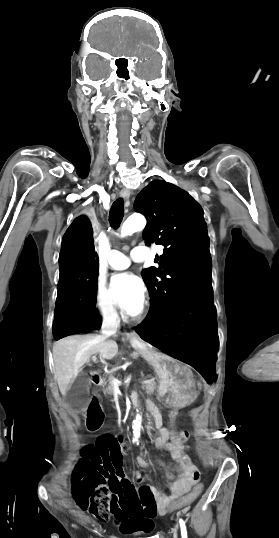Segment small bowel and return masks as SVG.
<instances>
[{
	"instance_id": "c3829d8e",
	"label": "small bowel",
	"mask_w": 279,
	"mask_h": 538,
	"mask_svg": "<svg viewBox=\"0 0 279 538\" xmlns=\"http://www.w3.org/2000/svg\"><path fill=\"white\" fill-rule=\"evenodd\" d=\"M176 413L177 410L172 409L170 412V418L174 419ZM162 424V416L160 413H157L154 416V426L157 429V433L153 438V442L156 447L165 449L170 453L178 474L174 477L172 474L166 472V477L168 478L167 490L160 491L155 489V498L159 509L164 508L171 499L180 497L181 495L187 493L194 484V482L188 480L183 473L181 454L184 447L177 441V432L172 428L163 427ZM135 460L136 463L141 467L162 469L161 464H152L143 457L139 456ZM115 518L117 522L120 523L121 531L126 534L132 532L148 533L153 529L152 517L127 518L124 516H115Z\"/></svg>"
}]
</instances>
